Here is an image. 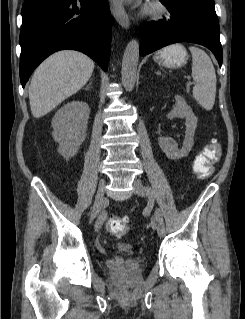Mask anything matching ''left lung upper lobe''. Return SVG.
<instances>
[{
  "label": "left lung upper lobe",
  "mask_w": 245,
  "mask_h": 319,
  "mask_svg": "<svg viewBox=\"0 0 245 319\" xmlns=\"http://www.w3.org/2000/svg\"><path fill=\"white\" fill-rule=\"evenodd\" d=\"M168 1L173 3L187 2V3L197 5L201 8L207 9L209 11L215 12L214 0H168Z\"/></svg>",
  "instance_id": "1"
}]
</instances>
